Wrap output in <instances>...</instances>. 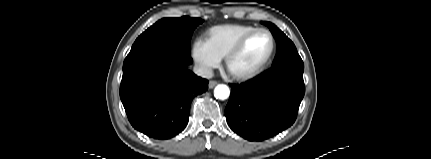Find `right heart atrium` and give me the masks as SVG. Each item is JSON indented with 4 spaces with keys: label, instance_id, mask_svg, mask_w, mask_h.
<instances>
[{
    "label": "right heart atrium",
    "instance_id": "d8ad5b80",
    "mask_svg": "<svg viewBox=\"0 0 431 159\" xmlns=\"http://www.w3.org/2000/svg\"><path fill=\"white\" fill-rule=\"evenodd\" d=\"M191 55L200 72L208 76L220 65L221 58L211 49L203 39H196L191 45Z\"/></svg>",
    "mask_w": 431,
    "mask_h": 159
}]
</instances>
